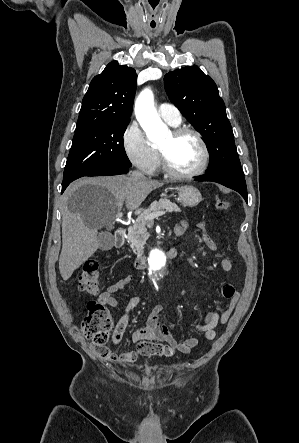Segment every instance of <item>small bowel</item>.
I'll return each mask as SVG.
<instances>
[{
	"mask_svg": "<svg viewBox=\"0 0 299 443\" xmlns=\"http://www.w3.org/2000/svg\"><path fill=\"white\" fill-rule=\"evenodd\" d=\"M186 226L187 224L185 221H180L175 227V233L177 235H183L185 233ZM199 227L204 231V223H200ZM202 238L209 250L214 251L217 249L215 240L205 231ZM220 265L225 271H230L233 268V262L227 257L221 259ZM133 279V276L128 274L107 286V288L99 294V302L107 304L111 307L118 306L119 302L114 294L129 285ZM221 295L223 298L228 300L226 308L222 312H218L216 310L211 311L207 314L203 323L195 326L198 331L203 333L206 340H213L215 338V328L218 325L225 324L229 320L239 299V294L232 284H224L221 288ZM138 303V296H133L128 301L125 311L119 319L113 333L114 345H118L120 343L129 324V313ZM162 311V305H154L148 315L146 326L137 329L133 333L132 339L135 345L134 350H129L120 355H116L109 351V355L106 358L113 362L128 364L134 362L138 354H162L165 356H172L176 352L184 354L190 353L191 350L196 347L198 343L197 339L194 337H189L182 341H178L171 333L167 325L162 321Z\"/></svg>",
	"mask_w": 299,
	"mask_h": 443,
	"instance_id": "c3829d8e",
	"label": "small bowel"
}]
</instances>
